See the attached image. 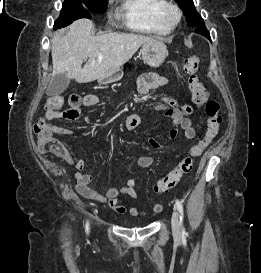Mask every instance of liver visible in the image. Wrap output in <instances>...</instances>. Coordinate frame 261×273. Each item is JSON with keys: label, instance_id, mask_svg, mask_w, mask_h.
<instances>
[{"label": "liver", "instance_id": "1", "mask_svg": "<svg viewBox=\"0 0 261 273\" xmlns=\"http://www.w3.org/2000/svg\"><path fill=\"white\" fill-rule=\"evenodd\" d=\"M151 40L133 33L94 36L93 22L79 19L69 26L65 35L58 30L51 39L52 78L65 73L77 83L103 80L128 62L143 43Z\"/></svg>", "mask_w": 261, "mask_h": 273}]
</instances>
